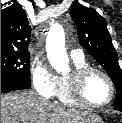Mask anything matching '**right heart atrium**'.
Here are the masks:
<instances>
[{"label":"right heart atrium","mask_w":122,"mask_h":123,"mask_svg":"<svg viewBox=\"0 0 122 123\" xmlns=\"http://www.w3.org/2000/svg\"><path fill=\"white\" fill-rule=\"evenodd\" d=\"M30 79L34 90L40 96L46 99L56 96L59 78L44 59L35 58L31 62Z\"/></svg>","instance_id":"d8ad5b80"}]
</instances>
